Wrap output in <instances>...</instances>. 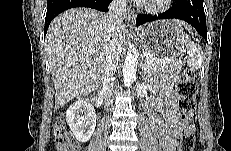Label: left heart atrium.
Instances as JSON below:
<instances>
[{"label": "left heart atrium", "mask_w": 231, "mask_h": 151, "mask_svg": "<svg viewBox=\"0 0 231 151\" xmlns=\"http://www.w3.org/2000/svg\"><path fill=\"white\" fill-rule=\"evenodd\" d=\"M135 2L136 3H145V2H147V0H136Z\"/></svg>", "instance_id": "1"}]
</instances>
